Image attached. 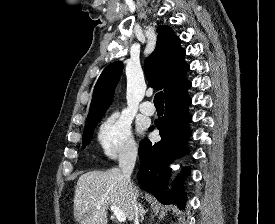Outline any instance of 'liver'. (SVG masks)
Masks as SVG:
<instances>
[{
    "label": "liver",
    "instance_id": "1",
    "mask_svg": "<svg viewBox=\"0 0 275 224\" xmlns=\"http://www.w3.org/2000/svg\"><path fill=\"white\" fill-rule=\"evenodd\" d=\"M135 196L137 188L131 183ZM132 192L118 168L82 174L74 195V218L79 224H107L109 205L119 208L128 221L134 219ZM100 202L101 206L97 207Z\"/></svg>",
    "mask_w": 275,
    "mask_h": 224
}]
</instances>
